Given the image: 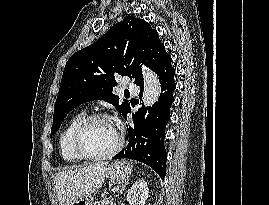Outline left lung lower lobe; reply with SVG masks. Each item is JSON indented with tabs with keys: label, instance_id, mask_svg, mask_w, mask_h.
I'll return each instance as SVG.
<instances>
[{
	"label": "left lung lower lobe",
	"instance_id": "0a47b994",
	"mask_svg": "<svg viewBox=\"0 0 269 205\" xmlns=\"http://www.w3.org/2000/svg\"><path fill=\"white\" fill-rule=\"evenodd\" d=\"M156 74L161 84V94L158 102L152 107H142L132 114L133 123L128 127L129 142L127 148L112 159L128 158L141 161L150 166L163 179L166 174L167 154L164 146L165 128L170 120V107L173 103L175 70L168 54L158 65ZM140 97L144 84L140 85ZM130 112V108L123 117Z\"/></svg>",
	"mask_w": 269,
	"mask_h": 205
}]
</instances>
